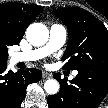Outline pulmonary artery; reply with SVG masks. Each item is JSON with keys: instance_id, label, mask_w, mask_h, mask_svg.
Returning a JSON list of instances; mask_svg holds the SVG:
<instances>
[{"instance_id": "obj_1", "label": "pulmonary artery", "mask_w": 108, "mask_h": 108, "mask_svg": "<svg viewBox=\"0 0 108 108\" xmlns=\"http://www.w3.org/2000/svg\"><path fill=\"white\" fill-rule=\"evenodd\" d=\"M66 36L67 31L63 25L53 24L50 27L49 40L46 45L35 50L14 53L10 60L13 64L39 60L61 48L66 41ZM77 74V71L72 73L73 76H76Z\"/></svg>"}]
</instances>
